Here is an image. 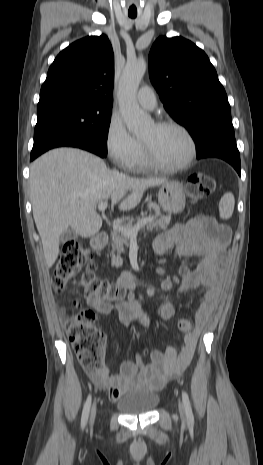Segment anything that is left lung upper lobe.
Instances as JSON below:
<instances>
[{
  "label": "left lung upper lobe",
  "mask_w": 263,
  "mask_h": 465,
  "mask_svg": "<svg viewBox=\"0 0 263 465\" xmlns=\"http://www.w3.org/2000/svg\"><path fill=\"white\" fill-rule=\"evenodd\" d=\"M149 66L164 108L189 131L197 151L215 136L234 135L226 92L200 48L182 37H159Z\"/></svg>",
  "instance_id": "1"
}]
</instances>
